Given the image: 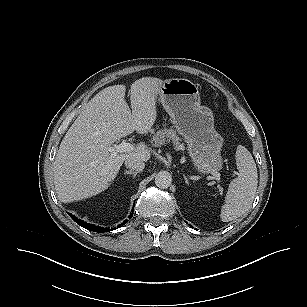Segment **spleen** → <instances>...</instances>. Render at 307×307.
Segmentation results:
<instances>
[{"mask_svg":"<svg viewBox=\"0 0 307 307\" xmlns=\"http://www.w3.org/2000/svg\"><path fill=\"white\" fill-rule=\"evenodd\" d=\"M235 157L239 174L229 184L220 214L223 222L243 215L251 207L257 190V167L251 153L239 145Z\"/></svg>","mask_w":307,"mask_h":307,"instance_id":"spleen-1","label":"spleen"}]
</instances>
